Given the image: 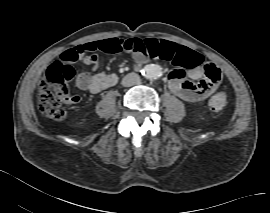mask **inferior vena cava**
<instances>
[{"instance_id":"602c4592","label":"inferior vena cava","mask_w":270,"mask_h":213,"mask_svg":"<svg viewBox=\"0 0 270 213\" xmlns=\"http://www.w3.org/2000/svg\"><path fill=\"white\" fill-rule=\"evenodd\" d=\"M140 77L136 73H129L122 79V85L130 87L140 83Z\"/></svg>"}]
</instances>
